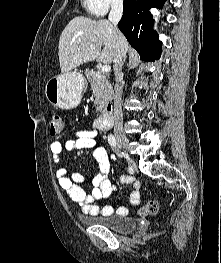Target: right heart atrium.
I'll return each instance as SVG.
<instances>
[{
  "label": "right heart atrium",
  "mask_w": 221,
  "mask_h": 263,
  "mask_svg": "<svg viewBox=\"0 0 221 263\" xmlns=\"http://www.w3.org/2000/svg\"><path fill=\"white\" fill-rule=\"evenodd\" d=\"M123 0H89L88 10L96 16L105 15L110 9L118 7Z\"/></svg>",
  "instance_id": "obj_1"
}]
</instances>
